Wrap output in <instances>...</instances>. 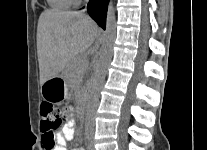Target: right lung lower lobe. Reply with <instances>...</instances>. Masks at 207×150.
Masks as SVG:
<instances>
[{
	"mask_svg": "<svg viewBox=\"0 0 207 150\" xmlns=\"http://www.w3.org/2000/svg\"><path fill=\"white\" fill-rule=\"evenodd\" d=\"M107 5L108 0H90L87 6L90 16L103 29L106 27Z\"/></svg>",
	"mask_w": 207,
	"mask_h": 150,
	"instance_id": "obj_1",
	"label": "right lung lower lobe"
}]
</instances>
